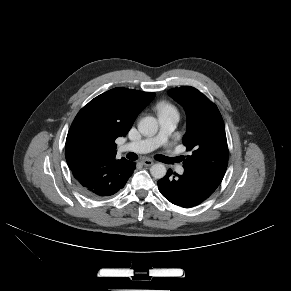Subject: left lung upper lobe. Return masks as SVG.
<instances>
[{
    "instance_id": "1",
    "label": "left lung upper lobe",
    "mask_w": 291,
    "mask_h": 291,
    "mask_svg": "<svg viewBox=\"0 0 291 291\" xmlns=\"http://www.w3.org/2000/svg\"><path fill=\"white\" fill-rule=\"evenodd\" d=\"M169 94L187 112V132L183 144L192 154L187 156L183 166L223 179L228 164V146L218 108L194 87L172 88Z\"/></svg>"
}]
</instances>
